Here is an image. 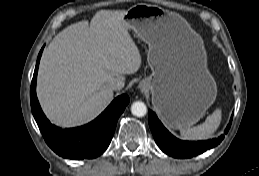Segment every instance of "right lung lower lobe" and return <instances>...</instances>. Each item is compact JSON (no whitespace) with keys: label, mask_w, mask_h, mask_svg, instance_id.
Returning a JSON list of instances; mask_svg holds the SVG:
<instances>
[{"label":"right lung lower lobe","mask_w":259,"mask_h":176,"mask_svg":"<svg viewBox=\"0 0 259 176\" xmlns=\"http://www.w3.org/2000/svg\"><path fill=\"white\" fill-rule=\"evenodd\" d=\"M40 51L31 83L30 101L33 116L48 146L58 155L68 159H91L101 155L109 146L119 116L130 99L118 96L95 120L87 125L62 129L50 123L41 110L36 96V80Z\"/></svg>","instance_id":"obj_1"}]
</instances>
